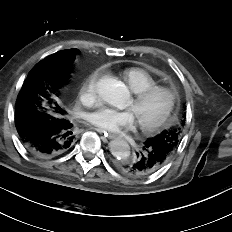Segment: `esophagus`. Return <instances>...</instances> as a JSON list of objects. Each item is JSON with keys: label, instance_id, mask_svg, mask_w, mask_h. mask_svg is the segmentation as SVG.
Here are the masks:
<instances>
[{"label": "esophagus", "instance_id": "1", "mask_svg": "<svg viewBox=\"0 0 232 232\" xmlns=\"http://www.w3.org/2000/svg\"><path fill=\"white\" fill-rule=\"evenodd\" d=\"M93 129L96 130L98 133L104 135V137L108 138V139H111L115 136L114 134H111L110 132H107V131L99 129V128H93Z\"/></svg>", "mask_w": 232, "mask_h": 232}]
</instances>
